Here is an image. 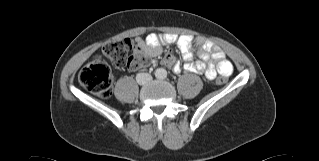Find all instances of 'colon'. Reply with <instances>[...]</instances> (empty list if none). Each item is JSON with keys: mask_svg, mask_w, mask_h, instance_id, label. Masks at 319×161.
I'll list each match as a JSON object with an SVG mask.
<instances>
[{"mask_svg": "<svg viewBox=\"0 0 319 161\" xmlns=\"http://www.w3.org/2000/svg\"><path fill=\"white\" fill-rule=\"evenodd\" d=\"M102 51L118 68L137 70L152 63L144 47L128 38L108 41L102 47ZM225 81V77H220L217 83L223 84ZM79 83L98 96H109L112 90V76L109 66L100 58H94L80 70Z\"/></svg>", "mask_w": 319, "mask_h": 161, "instance_id": "1", "label": "colon"}]
</instances>
